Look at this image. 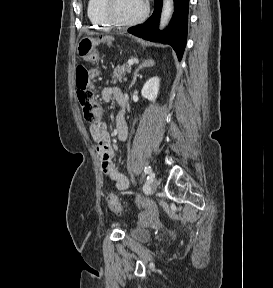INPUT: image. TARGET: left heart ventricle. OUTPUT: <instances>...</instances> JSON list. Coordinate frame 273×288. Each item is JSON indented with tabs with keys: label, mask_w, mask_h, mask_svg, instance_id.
<instances>
[{
	"label": "left heart ventricle",
	"mask_w": 273,
	"mask_h": 288,
	"mask_svg": "<svg viewBox=\"0 0 273 288\" xmlns=\"http://www.w3.org/2000/svg\"><path fill=\"white\" fill-rule=\"evenodd\" d=\"M144 0H114L112 12L120 20H132L144 10Z\"/></svg>",
	"instance_id": "b2bd125f"
}]
</instances>
